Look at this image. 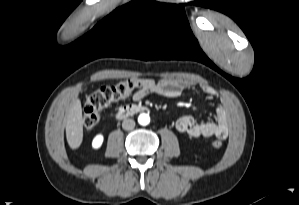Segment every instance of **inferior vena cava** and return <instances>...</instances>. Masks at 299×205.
<instances>
[{"mask_svg":"<svg viewBox=\"0 0 299 205\" xmlns=\"http://www.w3.org/2000/svg\"><path fill=\"white\" fill-rule=\"evenodd\" d=\"M135 127V121L133 119H125L122 122V128L124 130H132Z\"/></svg>","mask_w":299,"mask_h":205,"instance_id":"1","label":"inferior vena cava"}]
</instances>
